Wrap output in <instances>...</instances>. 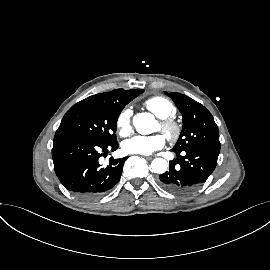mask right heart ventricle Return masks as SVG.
Returning <instances> with one entry per match:
<instances>
[{"mask_svg": "<svg viewBox=\"0 0 270 270\" xmlns=\"http://www.w3.org/2000/svg\"><path fill=\"white\" fill-rule=\"evenodd\" d=\"M144 106L160 119L174 117L177 111L170 100L161 96L147 99Z\"/></svg>", "mask_w": 270, "mask_h": 270, "instance_id": "right-heart-ventricle-1", "label": "right heart ventricle"}]
</instances>
